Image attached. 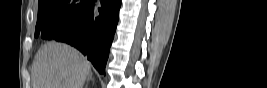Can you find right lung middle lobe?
<instances>
[{
	"label": "right lung middle lobe",
	"instance_id": "obj_1",
	"mask_svg": "<svg viewBox=\"0 0 267 88\" xmlns=\"http://www.w3.org/2000/svg\"><path fill=\"white\" fill-rule=\"evenodd\" d=\"M91 3V0H39L35 37L51 39L77 21Z\"/></svg>",
	"mask_w": 267,
	"mask_h": 88
}]
</instances>
